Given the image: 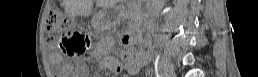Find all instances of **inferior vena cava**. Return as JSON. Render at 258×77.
Listing matches in <instances>:
<instances>
[{"label": "inferior vena cava", "instance_id": "602c4592", "mask_svg": "<svg viewBox=\"0 0 258 77\" xmlns=\"http://www.w3.org/2000/svg\"><path fill=\"white\" fill-rule=\"evenodd\" d=\"M160 6L159 5H156L155 7H154V15H157V13L160 11Z\"/></svg>", "mask_w": 258, "mask_h": 77}]
</instances>
